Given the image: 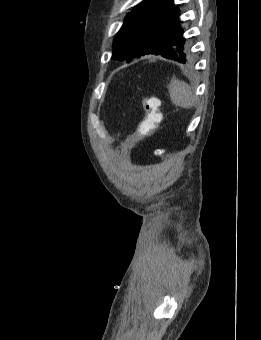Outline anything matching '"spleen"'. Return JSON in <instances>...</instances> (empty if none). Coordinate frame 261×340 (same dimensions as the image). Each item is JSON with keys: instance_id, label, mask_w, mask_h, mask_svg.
I'll list each match as a JSON object with an SVG mask.
<instances>
[{"instance_id": "3e777b00", "label": "spleen", "mask_w": 261, "mask_h": 340, "mask_svg": "<svg viewBox=\"0 0 261 340\" xmlns=\"http://www.w3.org/2000/svg\"><path fill=\"white\" fill-rule=\"evenodd\" d=\"M172 103L185 109H190L196 104V96L190 86L184 81L173 78L168 86Z\"/></svg>"}]
</instances>
